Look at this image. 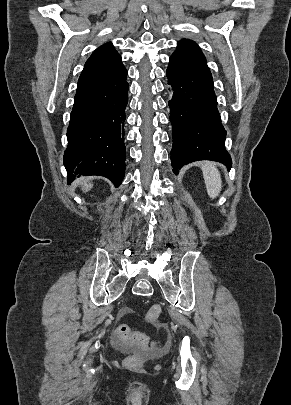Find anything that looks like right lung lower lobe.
<instances>
[{
    "label": "right lung lower lobe",
    "mask_w": 291,
    "mask_h": 405,
    "mask_svg": "<svg viewBox=\"0 0 291 405\" xmlns=\"http://www.w3.org/2000/svg\"><path fill=\"white\" fill-rule=\"evenodd\" d=\"M126 69L109 79L76 91L64 166L68 184L81 175H100L118 187L125 175Z\"/></svg>",
    "instance_id": "1"
}]
</instances>
